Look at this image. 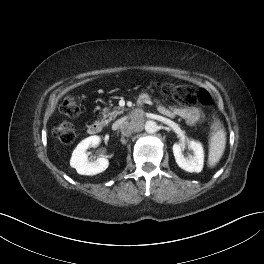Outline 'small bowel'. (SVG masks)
<instances>
[{
  "label": "small bowel",
  "mask_w": 264,
  "mask_h": 264,
  "mask_svg": "<svg viewBox=\"0 0 264 264\" xmlns=\"http://www.w3.org/2000/svg\"><path fill=\"white\" fill-rule=\"evenodd\" d=\"M143 99H148V94H143ZM159 111L168 117H180L185 119L189 124H195L202 120L203 114L196 107H178L159 105Z\"/></svg>",
  "instance_id": "1"
}]
</instances>
